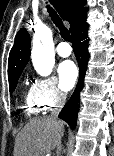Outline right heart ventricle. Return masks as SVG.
Listing matches in <instances>:
<instances>
[{"label": "right heart ventricle", "instance_id": "e07e8e85", "mask_svg": "<svg viewBox=\"0 0 114 156\" xmlns=\"http://www.w3.org/2000/svg\"><path fill=\"white\" fill-rule=\"evenodd\" d=\"M23 108L27 115H38L44 110L33 97L31 90L25 96Z\"/></svg>", "mask_w": 114, "mask_h": 156}]
</instances>
